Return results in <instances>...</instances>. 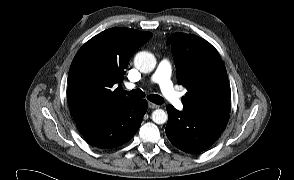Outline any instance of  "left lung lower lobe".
I'll list each match as a JSON object with an SVG mask.
<instances>
[{
  "label": "left lung lower lobe",
  "mask_w": 294,
  "mask_h": 180,
  "mask_svg": "<svg viewBox=\"0 0 294 180\" xmlns=\"http://www.w3.org/2000/svg\"><path fill=\"white\" fill-rule=\"evenodd\" d=\"M169 118L165 129L170 142L180 150L199 153L209 148L224 131L229 115L178 111L166 107Z\"/></svg>",
  "instance_id": "obj_1"
}]
</instances>
